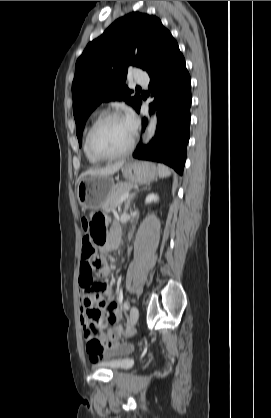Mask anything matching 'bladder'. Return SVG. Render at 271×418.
Returning <instances> with one entry per match:
<instances>
[{
	"mask_svg": "<svg viewBox=\"0 0 271 418\" xmlns=\"http://www.w3.org/2000/svg\"><path fill=\"white\" fill-rule=\"evenodd\" d=\"M128 351H123L119 353V356L106 360L101 363L100 366L110 369L112 371H123L130 367L131 361L127 357Z\"/></svg>",
	"mask_w": 271,
	"mask_h": 418,
	"instance_id": "1",
	"label": "bladder"
}]
</instances>
